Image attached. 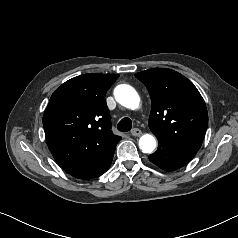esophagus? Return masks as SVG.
<instances>
[{
  "label": "esophagus",
  "mask_w": 238,
  "mask_h": 238,
  "mask_svg": "<svg viewBox=\"0 0 238 238\" xmlns=\"http://www.w3.org/2000/svg\"><path fill=\"white\" fill-rule=\"evenodd\" d=\"M141 134H142V132H141V130L138 129V128H134V129L131 130V135H132V136L137 137V136H140Z\"/></svg>",
  "instance_id": "esophagus-1"
}]
</instances>
